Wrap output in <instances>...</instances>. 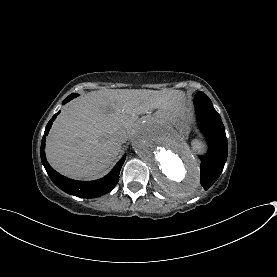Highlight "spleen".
Instances as JSON below:
<instances>
[{
    "mask_svg": "<svg viewBox=\"0 0 277 277\" xmlns=\"http://www.w3.org/2000/svg\"><path fill=\"white\" fill-rule=\"evenodd\" d=\"M193 150H197L198 153H203L205 150V145L203 142L195 139L192 141Z\"/></svg>",
    "mask_w": 277,
    "mask_h": 277,
    "instance_id": "obj_1",
    "label": "spleen"
}]
</instances>
